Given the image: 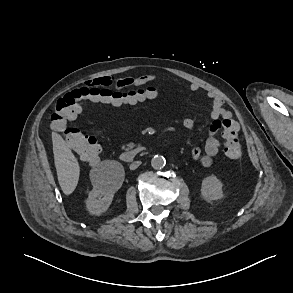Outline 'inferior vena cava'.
Listing matches in <instances>:
<instances>
[{
    "label": "inferior vena cava",
    "mask_w": 293,
    "mask_h": 293,
    "mask_svg": "<svg viewBox=\"0 0 293 293\" xmlns=\"http://www.w3.org/2000/svg\"><path fill=\"white\" fill-rule=\"evenodd\" d=\"M140 164H141L140 161H135V162L131 163V165H130V169H131V170H135L136 168H138V166H139Z\"/></svg>",
    "instance_id": "obj_1"
}]
</instances>
